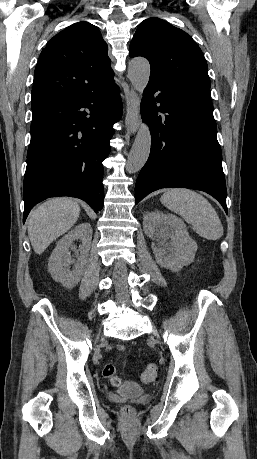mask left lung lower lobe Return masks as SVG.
Returning a JSON list of instances; mask_svg holds the SVG:
<instances>
[{
  "instance_id": "obj_1",
  "label": "left lung lower lobe",
  "mask_w": 257,
  "mask_h": 459,
  "mask_svg": "<svg viewBox=\"0 0 257 459\" xmlns=\"http://www.w3.org/2000/svg\"><path fill=\"white\" fill-rule=\"evenodd\" d=\"M158 112L165 115L158 116ZM141 115L150 126L152 142L149 158L136 181V204L160 188L183 187L207 192L227 213L210 87L149 81Z\"/></svg>"
}]
</instances>
